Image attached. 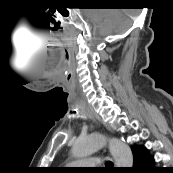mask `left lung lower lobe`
<instances>
[{"label": "left lung lower lobe", "mask_w": 173, "mask_h": 173, "mask_svg": "<svg viewBox=\"0 0 173 173\" xmlns=\"http://www.w3.org/2000/svg\"><path fill=\"white\" fill-rule=\"evenodd\" d=\"M134 166L127 172L129 173H150L153 171L154 158L149 154L144 146L133 148Z\"/></svg>", "instance_id": "obj_1"}]
</instances>
